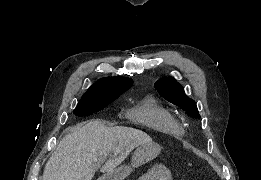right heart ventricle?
Listing matches in <instances>:
<instances>
[{
  "label": "right heart ventricle",
  "instance_id": "obj_1",
  "mask_svg": "<svg viewBox=\"0 0 261 180\" xmlns=\"http://www.w3.org/2000/svg\"><path fill=\"white\" fill-rule=\"evenodd\" d=\"M124 121H141L140 131L149 133H165V138H138L156 139V142L179 141L185 136V129L178 118L154 97L147 96L131 103L123 110Z\"/></svg>",
  "mask_w": 261,
  "mask_h": 180
}]
</instances>
